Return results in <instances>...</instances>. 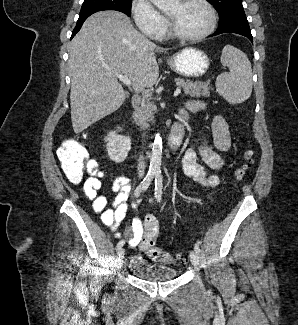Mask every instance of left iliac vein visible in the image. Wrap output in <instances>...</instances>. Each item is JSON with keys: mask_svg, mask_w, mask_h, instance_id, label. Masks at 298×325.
Returning a JSON list of instances; mask_svg holds the SVG:
<instances>
[{"mask_svg": "<svg viewBox=\"0 0 298 325\" xmlns=\"http://www.w3.org/2000/svg\"><path fill=\"white\" fill-rule=\"evenodd\" d=\"M189 257H190V261H191L192 265L195 268H198L199 267V256H198V254L194 250H192V251H190Z\"/></svg>", "mask_w": 298, "mask_h": 325, "instance_id": "obj_1", "label": "left iliac vein"}]
</instances>
